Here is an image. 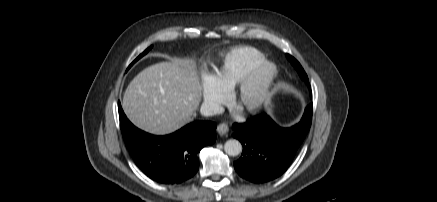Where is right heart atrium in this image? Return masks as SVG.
Wrapping results in <instances>:
<instances>
[{
  "instance_id": "obj_1",
  "label": "right heart atrium",
  "mask_w": 437,
  "mask_h": 202,
  "mask_svg": "<svg viewBox=\"0 0 437 202\" xmlns=\"http://www.w3.org/2000/svg\"><path fill=\"white\" fill-rule=\"evenodd\" d=\"M201 93L204 105L211 111L218 110L227 100V91L210 75L203 76Z\"/></svg>"
}]
</instances>
